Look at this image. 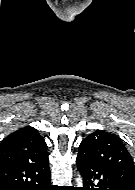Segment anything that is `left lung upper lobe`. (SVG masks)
I'll use <instances>...</instances> for the list:
<instances>
[{
  "mask_svg": "<svg viewBox=\"0 0 135 190\" xmlns=\"http://www.w3.org/2000/svg\"><path fill=\"white\" fill-rule=\"evenodd\" d=\"M77 157L107 168L129 190H135L133 160L116 135L104 130L95 131L81 142Z\"/></svg>",
  "mask_w": 135,
  "mask_h": 190,
  "instance_id": "5c2ea615",
  "label": "left lung upper lobe"
}]
</instances>
